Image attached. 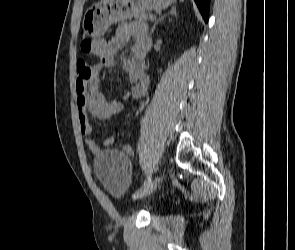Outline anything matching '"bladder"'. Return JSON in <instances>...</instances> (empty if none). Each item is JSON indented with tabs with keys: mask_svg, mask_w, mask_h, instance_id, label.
I'll list each match as a JSON object with an SVG mask.
<instances>
[{
	"mask_svg": "<svg viewBox=\"0 0 295 250\" xmlns=\"http://www.w3.org/2000/svg\"><path fill=\"white\" fill-rule=\"evenodd\" d=\"M130 161L127 155L115 149L102 151L93 162L94 174L104 189L121 197L129 182Z\"/></svg>",
	"mask_w": 295,
	"mask_h": 250,
	"instance_id": "bladder-1",
	"label": "bladder"
}]
</instances>
